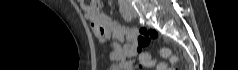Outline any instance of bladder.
<instances>
[{
  "instance_id": "31cf9c89",
  "label": "bladder",
  "mask_w": 238,
  "mask_h": 70,
  "mask_svg": "<svg viewBox=\"0 0 238 70\" xmlns=\"http://www.w3.org/2000/svg\"><path fill=\"white\" fill-rule=\"evenodd\" d=\"M109 70H121V69L117 67H111Z\"/></svg>"
}]
</instances>
